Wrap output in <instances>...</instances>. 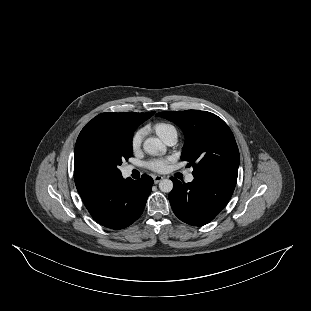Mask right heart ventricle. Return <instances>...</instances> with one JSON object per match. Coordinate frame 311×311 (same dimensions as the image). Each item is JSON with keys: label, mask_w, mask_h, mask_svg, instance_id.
Wrapping results in <instances>:
<instances>
[{"label": "right heart ventricle", "mask_w": 311, "mask_h": 311, "mask_svg": "<svg viewBox=\"0 0 311 311\" xmlns=\"http://www.w3.org/2000/svg\"><path fill=\"white\" fill-rule=\"evenodd\" d=\"M154 130L157 135L163 140L170 134H176L178 136L177 127L169 122H159L154 125Z\"/></svg>", "instance_id": "right-heart-ventricle-1"}]
</instances>
